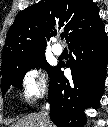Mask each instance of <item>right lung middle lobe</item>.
Instances as JSON below:
<instances>
[{"label": "right lung middle lobe", "instance_id": "dd1d6c3e", "mask_svg": "<svg viewBox=\"0 0 108 127\" xmlns=\"http://www.w3.org/2000/svg\"><path fill=\"white\" fill-rule=\"evenodd\" d=\"M38 67L45 69L49 76L52 74L55 68L47 64L44 54L2 65V94H5L11 85L20 89L22 87V80L25 73L30 69Z\"/></svg>", "mask_w": 108, "mask_h": 127}]
</instances>
